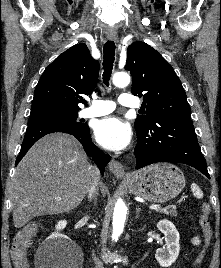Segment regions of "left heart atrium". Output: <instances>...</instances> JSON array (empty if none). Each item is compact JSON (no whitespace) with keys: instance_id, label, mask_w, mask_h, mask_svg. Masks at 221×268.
I'll list each match as a JSON object with an SVG mask.
<instances>
[{"instance_id":"obj_1","label":"left heart atrium","mask_w":221,"mask_h":268,"mask_svg":"<svg viewBox=\"0 0 221 268\" xmlns=\"http://www.w3.org/2000/svg\"><path fill=\"white\" fill-rule=\"evenodd\" d=\"M95 138L104 148L119 151L130 144L132 132L130 126L123 120L107 117L96 124Z\"/></svg>"}]
</instances>
